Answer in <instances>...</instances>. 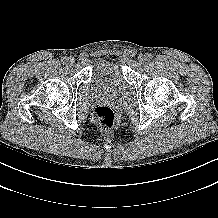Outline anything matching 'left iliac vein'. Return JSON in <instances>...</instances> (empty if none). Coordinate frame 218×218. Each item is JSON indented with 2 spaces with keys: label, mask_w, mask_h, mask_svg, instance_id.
<instances>
[{
  "label": "left iliac vein",
  "mask_w": 218,
  "mask_h": 218,
  "mask_svg": "<svg viewBox=\"0 0 218 218\" xmlns=\"http://www.w3.org/2000/svg\"><path fill=\"white\" fill-rule=\"evenodd\" d=\"M145 60H146V56L144 55V54H140L139 56H138V61H139V63H144L145 62Z\"/></svg>",
  "instance_id": "left-iliac-vein-1"
}]
</instances>
